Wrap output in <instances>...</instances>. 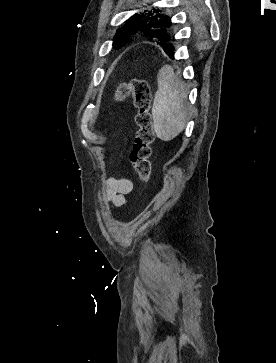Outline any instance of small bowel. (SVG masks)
Returning <instances> with one entry per match:
<instances>
[{
    "instance_id": "1",
    "label": "small bowel",
    "mask_w": 276,
    "mask_h": 363,
    "mask_svg": "<svg viewBox=\"0 0 276 363\" xmlns=\"http://www.w3.org/2000/svg\"><path fill=\"white\" fill-rule=\"evenodd\" d=\"M133 190V182L128 178L110 177L107 179L104 190L105 201L114 207L127 203L126 195Z\"/></svg>"
}]
</instances>
